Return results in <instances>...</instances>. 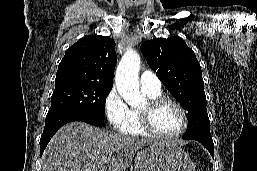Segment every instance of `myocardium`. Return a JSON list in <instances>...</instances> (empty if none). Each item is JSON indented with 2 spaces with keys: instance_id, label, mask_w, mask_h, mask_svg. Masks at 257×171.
Listing matches in <instances>:
<instances>
[{
  "instance_id": "myocardium-1",
  "label": "myocardium",
  "mask_w": 257,
  "mask_h": 171,
  "mask_svg": "<svg viewBox=\"0 0 257 171\" xmlns=\"http://www.w3.org/2000/svg\"><path fill=\"white\" fill-rule=\"evenodd\" d=\"M167 103L175 106L177 110L180 112L182 117V127L178 132L174 134H162L156 131L152 124L153 112L159 106ZM139 116H140L141 127L144 130V132H146L150 136H153L159 139L171 140V139L179 138L185 133L188 127V116L185 109L182 107V105L179 102L166 96H159L157 98L148 99L146 102V106L139 110Z\"/></svg>"
}]
</instances>
